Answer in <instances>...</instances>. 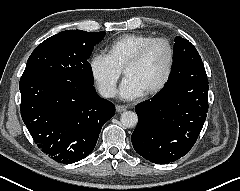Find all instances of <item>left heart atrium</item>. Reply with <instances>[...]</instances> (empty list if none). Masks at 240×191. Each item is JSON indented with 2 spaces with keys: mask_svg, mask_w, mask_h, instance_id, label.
Segmentation results:
<instances>
[{
  "mask_svg": "<svg viewBox=\"0 0 240 191\" xmlns=\"http://www.w3.org/2000/svg\"><path fill=\"white\" fill-rule=\"evenodd\" d=\"M143 94L142 89L136 84V82L129 78L125 77L120 90H119V95L123 99H134Z\"/></svg>",
  "mask_w": 240,
  "mask_h": 191,
  "instance_id": "obj_1",
  "label": "left heart atrium"
}]
</instances>
